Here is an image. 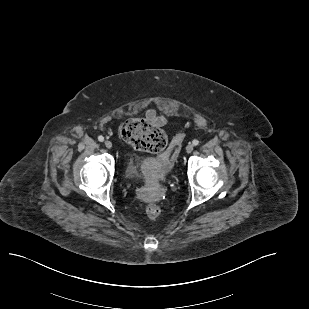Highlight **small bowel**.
Masks as SVG:
<instances>
[{
    "label": "small bowel",
    "mask_w": 309,
    "mask_h": 309,
    "mask_svg": "<svg viewBox=\"0 0 309 309\" xmlns=\"http://www.w3.org/2000/svg\"><path fill=\"white\" fill-rule=\"evenodd\" d=\"M147 120L153 123L157 127H163L167 124V118L163 115H159L155 109H148L145 113Z\"/></svg>",
    "instance_id": "obj_1"
}]
</instances>
